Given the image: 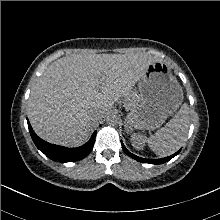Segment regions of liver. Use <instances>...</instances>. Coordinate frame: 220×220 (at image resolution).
Returning a JSON list of instances; mask_svg holds the SVG:
<instances>
[{
  "label": "liver",
  "instance_id": "liver-1",
  "mask_svg": "<svg viewBox=\"0 0 220 220\" xmlns=\"http://www.w3.org/2000/svg\"><path fill=\"white\" fill-rule=\"evenodd\" d=\"M144 53L71 54L51 63L38 78L28 100V117L43 140L78 147L95 121L91 112H107L126 97L149 64Z\"/></svg>",
  "mask_w": 220,
  "mask_h": 220
}]
</instances>
